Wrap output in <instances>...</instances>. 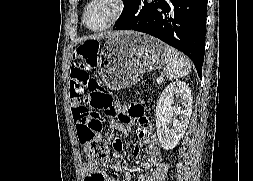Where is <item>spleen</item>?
<instances>
[{"instance_id":"spleen-1","label":"spleen","mask_w":253,"mask_h":181,"mask_svg":"<svg viewBox=\"0 0 253 181\" xmlns=\"http://www.w3.org/2000/svg\"><path fill=\"white\" fill-rule=\"evenodd\" d=\"M165 75L172 80L188 75L191 71L190 60L176 49L165 45Z\"/></svg>"}]
</instances>
